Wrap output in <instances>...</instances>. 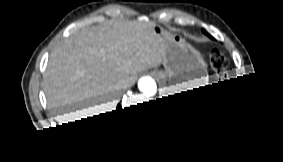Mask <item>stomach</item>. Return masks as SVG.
<instances>
[{"mask_svg": "<svg viewBox=\"0 0 283 162\" xmlns=\"http://www.w3.org/2000/svg\"><path fill=\"white\" fill-rule=\"evenodd\" d=\"M152 31L162 47L164 71H158L157 76L166 99L195 105L208 81L203 58L184 39L160 25L154 24Z\"/></svg>", "mask_w": 283, "mask_h": 162, "instance_id": "stomach-1", "label": "stomach"}]
</instances>
